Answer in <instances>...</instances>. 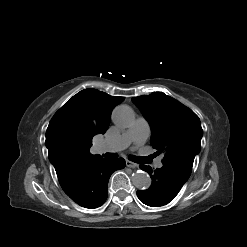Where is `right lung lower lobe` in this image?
<instances>
[{
    "mask_svg": "<svg viewBox=\"0 0 247 247\" xmlns=\"http://www.w3.org/2000/svg\"><path fill=\"white\" fill-rule=\"evenodd\" d=\"M125 167V161L101 158L93 164L74 168L58 176L64 192L77 204L89 209L101 206L107 199L111 174Z\"/></svg>",
    "mask_w": 247,
    "mask_h": 247,
    "instance_id": "obj_1",
    "label": "right lung lower lobe"
}]
</instances>
